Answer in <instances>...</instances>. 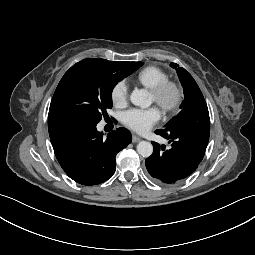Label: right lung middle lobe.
Listing matches in <instances>:
<instances>
[{
  "label": "right lung middle lobe",
  "instance_id": "1",
  "mask_svg": "<svg viewBox=\"0 0 255 255\" xmlns=\"http://www.w3.org/2000/svg\"><path fill=\"white\" fill-rule=\"evenodd\" d=\"M142 62L126 65L89 63L70 68L53 95L48 120L71 118L98 123L112 108L115 85L130 75Z\"/></svg>",
  "mask_w": 255,
  "mask_h": 255
}]
</instances>
